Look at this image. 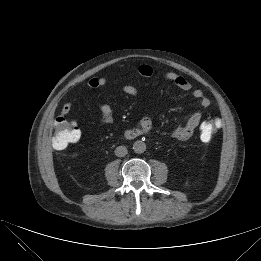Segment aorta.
Wrapping results in <instances>:
<instances>
[{
	"mask_svg": "<svg viewBox=\"0 0 261 261\" xmlns=\"http://www.w3.org/2000/svg\"><path fill=\"white\" fill-rule=\"evenodd\" d=\"M133 150L135 153H144L146 151V144L143 141H136L133 144Z\"/></svg>",
	"mask_w": 261,
	"mask_h": 261,
	"instance_id": "obj_1",
	"label": "aorta"
}]
</instances>
